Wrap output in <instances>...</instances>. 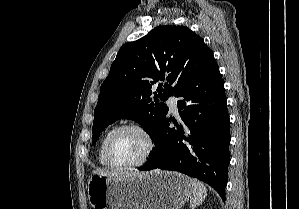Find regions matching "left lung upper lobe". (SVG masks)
Returning a JSON list of instances; mask_svg holds the SVG:
<instances>
[{
    "mask_svg": "<svg viewBox=\"0 0 299 209\" xmlns=\"http://www.w3.org/2000/svg\"><path fill=\"white\" fill-rule=\"evenodd\" d=\"M213 57L202 38L184 26H157L123 45L100 88L92 145L120 118L143 125L153 139L168 113L160 101L176 93Z\"/></svg>",
    "mask_w": 299,
    "mask_h": 209,
    "instance_id": "obj_1",
    "label": "left lung upper lobe"
}]
</instances>
